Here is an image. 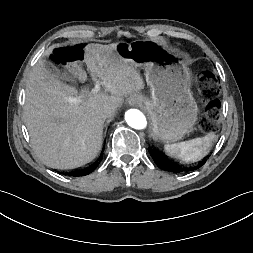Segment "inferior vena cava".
<instances>
[{"instance_id": "inferior-vena-cava-1", "label": "inferior vena cava", "mask_w": 253, "mask_h": 253, "mask_svg": "<svg viewBox=\"0 0 253 253\" xmlns=\"http://www.w3.org/2000/svg\"><path fill=\"white\" fill-rule=\"evenodd\" d=\"M116 108L117 107L115 105L105 104L103 106V113L107 116H111L115 112Z\"/></svg>"}]
</instances>
